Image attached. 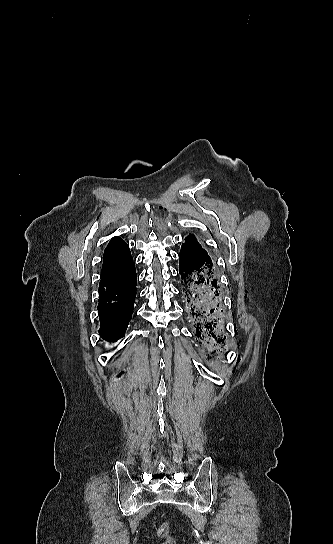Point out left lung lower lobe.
Returning <instances> with one entry per match:
<instances>
[{
    "mask_svg": "<svg viewBox=\"0 0 333 544\" xmlns=\"http://www.w3.org/2000/svg\"><path fill=\"white\" fill-rule=\"evenodd\" d=\"M179 274L185 309L198 340L207 350L220 351L225 345V321L221 285L214 263L183 245L179 254Z\"/></svg>",
    "mask_w": 333,
    "mask_h": 544,
    "instance_id": "0a47b994",
    "label": "left lung lower lobe"
}]
</instances>
